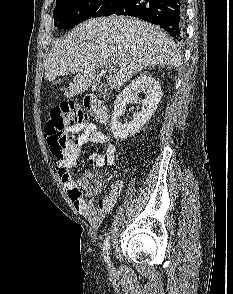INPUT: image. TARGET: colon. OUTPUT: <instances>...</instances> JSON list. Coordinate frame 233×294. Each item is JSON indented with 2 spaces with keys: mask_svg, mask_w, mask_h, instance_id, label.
Returning a JSON list of instances; mask_svg holds the SVG:
<instances>
[{
  "mask_svg": "<svg viewBox=\"0 0 233 294\" xmlns=\"http://www.w3.org/2000/svg\"><path fill=\"white\" fill-rule=\"evenodd\" d=\"M86 113L75 103H64L50 112L45 125V136L51 153L58 159L64 158L72 144L70 130L77 124L85 123ZM103 184L102 174L88 172L76 184L75 194L86 196L97 194Z\"/></svg>",
  "mask_w": 233,
  "mask_h": 294,
  "instance_id": "5ec220e1",
  "label": "colon"
}]
</instances>
